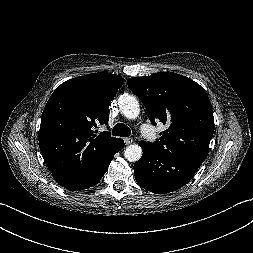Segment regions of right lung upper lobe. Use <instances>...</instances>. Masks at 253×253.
I'll list each match as a JSON object with an SVG mask.
<instances>
[{"label": "right lung upper lobe", "instance_id": "1", "mask_svg": "<svg viewBox=\"0 0 253 253\" xmlns=\"http://www.w3.org/2000/svg\"><path fill=\"white\" fill-rule=\"evenodd\" d=\"M124 79L111 73H93L62 83L52 93L42 113L39 147L49 170L63 171L106 154L119 138L104 131L95 135L97 123L106 124Z\"/></svg>", "mask_w": 253, "mask_h": 253}]
</instances>
